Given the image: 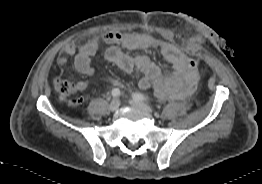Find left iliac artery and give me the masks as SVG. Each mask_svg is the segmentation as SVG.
Instances as JSON below:
<instances>
[{"mask_svg":"<svg viewBox=\"0 0 262 184\" xmlns=\"http://www.w3.org/2000/svg\"><path fill=\"white\" fill-rule=\"evenodd\" d=\"M132 97L133 99L138 100V101H148V98L141 93H135L133 94Z\"/></svg>","mask_w":262,"mask_h":184,"instance_id":"1","label":"left iliac artery"}]
</instances>
